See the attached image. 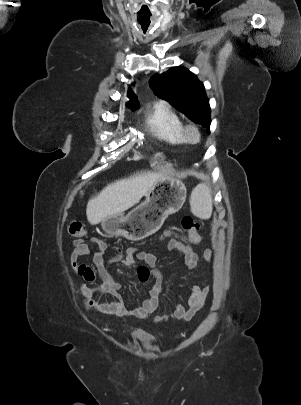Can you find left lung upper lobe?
Returning <instances> with one entry per match:
<instances>
[{
  "mask_svg": "<svg viewBox=\"0 0 301 405\" xmlns=\"http://www.w3.org/2000/svg\"><path fill=\"white\" fill-rule=\"evenodd\" d=\"M153 92L173 107L184 113L189 119L210 133V106L205 88L196 75L183 67H173L162 74H155L150 79Z\"/></svg>",
  "mask_w": 301,
  "mask_h": 405,
  "instance_id": "left-lung-upper-lobe-1",
  "label": "left lung upper lobe"
}]
</instances>
